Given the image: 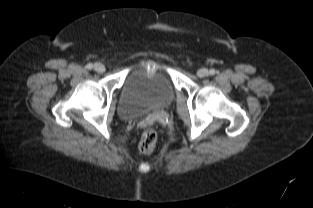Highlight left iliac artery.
Returning a JSON list of instances; mask_svg holds the SVG:
<instances>
[{
    "mask_svg": "<svg viewBox=\"0 0 313 208\" xmlns=\"http://www.w3.org/2000/svg\"><path fill=\"white\" fill-rule=\"evenodd\" d=\"M209 73H210V75H214V74H215V70H214V69H211V70L209 71Z\"/></svg>",
    "mask_w": 313,
    "mask_h": 208,
    "instance_id": "obj_1",
    "label": "left iliac artery"
}]
</instances>
